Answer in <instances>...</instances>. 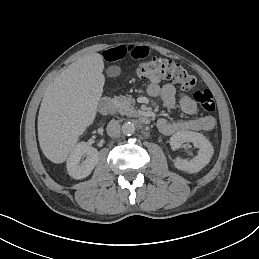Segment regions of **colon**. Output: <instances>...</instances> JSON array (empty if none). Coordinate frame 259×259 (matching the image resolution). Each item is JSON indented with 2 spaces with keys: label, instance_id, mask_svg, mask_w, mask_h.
<instances>
[{
  "label": "colon",
  "instance_id": "5ec220e1",
  "mask_svg": "<svg viewBox=\"0 0 259 259\" xmlns=\"http://www.w3.org/2000/svg\"><path fill=\"white\" fill-rule=\"evenodd\" d=\"M139 77L152 83L169 81L177 83L183 90H191L196 83L195 78L180 64L164 58H152L141 63L137 69ZM195 101L207 112L215 110V102L209 90L194 93Z\"/></svg>",
  "mask_w": 259,
  "mask_h": 259
}]
</instances>
